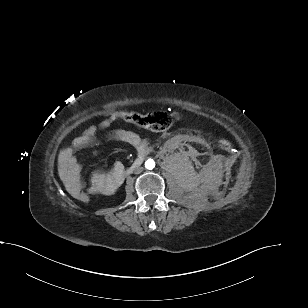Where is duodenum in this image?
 <instances>
[{"label": "duodenum", "mask_w": 308, "mask_h": 308, "mask_svg": "<svg viewBox=\"0 0 308 308\" xmlns=\"http://www.w3.org/2000/svg\"><path fill=\"white\" fill-rule=\"evenodd\" d=\"M142 152H143V151H141V153H142ZM141 163H142V157L139 156V157L133 162V164H132L129 168H127L126 171L123 172V174H122V179H123L125 176L131 174L132 171H133L136 167H138V166L141 165Z\"/></svg>", "instance_id": "1"}]
</instances>
